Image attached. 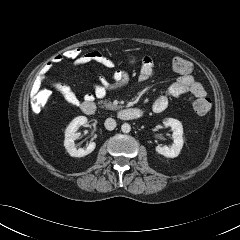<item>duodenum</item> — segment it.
Wrapping results in <instances>:
<instances>
[{
  "instance_id": "duodenum-1",
  "label": "duodenum",
  "mask_w": 240,
  "mask_h": 240,
  "mask_svg": "<svg viewBox=\"0 0 240 240\" xmlns=\"http://www.w3.org/2000/svg\"><path fill=\"white\" fill-rule=\"evenodd\" d=\"M81 110L87 115H93L97 111L96 104L91 100H86L81 104ZM121 120H136L143 116V111L139 108H123L116 112Z\"/></svg>"
}]
</instances>
